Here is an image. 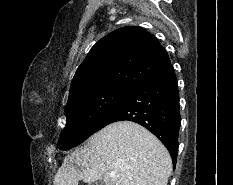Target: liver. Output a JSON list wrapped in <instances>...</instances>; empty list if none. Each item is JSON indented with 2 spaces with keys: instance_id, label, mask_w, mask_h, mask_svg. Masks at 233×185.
Returning <instances> with one entry per match:
<instances>
[{
  "instance_id": "6515ba94",
  "label": "liver",
  "mask_w": 233,
  "mask_h": 185,
  "mask_svg": "<svg viewBox=\"0 0 233 185\" xmlns=\"http://www.w3.org/2000/svg\"><path fill=\"white\" fill-rule=\"evenodd\" d=\"M171 171V157L160 140L139 124L121 121L66 156L54 185H78L80 180L91 185L102 178L105 185H167Z\"/></svg>"
}]
</instances>
